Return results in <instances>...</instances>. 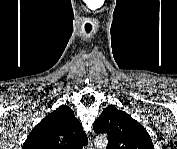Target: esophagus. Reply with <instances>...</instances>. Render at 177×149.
<instances>
[{"label":"esophagus","instance_id":"1","mask_svg":"<svg viewBox=\"0 0 177 149\" xmlns=\"http://www.w3.org/2000/svg\"><path fill=\"white\" fill-rule=\"evenodd\" d=\"M92 146H93V144H92L91 142H89V143H88V148H89V149H93Z\"/></svg>","mask_w":177,"mask_h":149}]
</instances>
